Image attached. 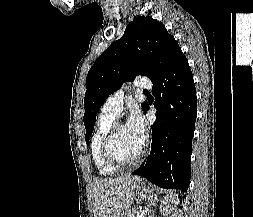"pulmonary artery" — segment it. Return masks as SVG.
Masks as SVG:
<instances>
[{"instance_id":"obj_1","label":"pulmonary artery","mask_w":253,"mask_h":217,"mask_svg":"<svg viewBox=\"0 0 253 217\" xmlns=\"http://www.w3.org/2000/svg\"><path fill=\"white\" fill-rule=\"evenodd\" d=\"M135 86L139 89L148 90L151 89L152 84L150 80L140 77L135 81ZM123 99L124 90L120 89L116 91L106 99L102 106L101 112L118 117L123 108Z\"/></svg>"}]
</instances>
